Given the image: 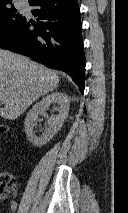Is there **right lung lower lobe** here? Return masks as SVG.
<instances>
[{
    "instance_id": "98d812e1",
    "label": "right lung lower lobe",
    "mask_w": 128,
    "mask_h": 213,
    "mask_svg": "<svg viewBox=\"0 0 128 213\" xmlns=\"http://www.w3.org/2000/svg\"><path fill=\"white\" fill-rule=\"evenodd\" d=\"M37 23L25 19L0 48L34 58L70 75L84 91L85 54L78 0H33ZM34 28H31V26Z\"/></svg>"
}]
</instances>
